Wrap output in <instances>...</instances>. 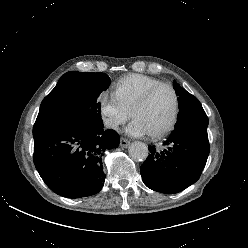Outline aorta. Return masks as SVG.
<instances>
[{
  "label": "aorta",
  "instance_id": "762f6f07",
  "mask_svg": "<svg viewBox=\"0 0 248 248\" xmlns=\"http://www.w3.org/2000/svg\"><path fill=\"white\" fill-rule=\"evenodd\" d=\"M129 154L136 161H144L148 157V147L139 141L129 146Z\"/></svg>",
  "mask_w": 248,
  "mask_h": 248
}]
</instances>
